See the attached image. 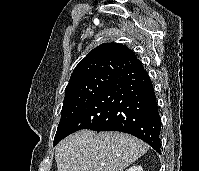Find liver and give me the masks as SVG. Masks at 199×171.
<instances>
[{
    "mask_svg": "<svg viewBox=\"0 0 199 171\" xmlns=\"http://www.w3.org/2000/svg\"><path fill=\"white\" fill-rule=\"evenodd\" d=\"M147 150L126 133L81 130L56 146L55 160L57 171H123Z\"/></svg>",
    "mask_w": 199,
    "mask_h": 171,
    "instance_id": "liver-1",
    "label": "liver"
}]
</instances>
